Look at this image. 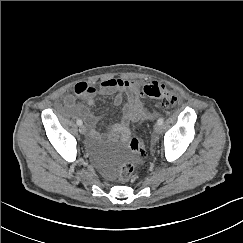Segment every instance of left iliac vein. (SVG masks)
Listing matches in <instances>:
<instances>
[{
  "mask_svg": "<svg viewBox=\"0 0 243 243\" xmlns=\"http://www.w3.org/2000/svg\"><path fill=\"white\" fill-rule=\"evenodd\" d=\"M154 131H155L156 134H160L161 131H162V127H161V125H159L158 123L155 124V126H154Z\"/></svg>",
  "mask_w": 243,
  "mask_h": 243,
  "instance_id": "obj_1",
  "label": "left iliac vein"
}]
</instances>
